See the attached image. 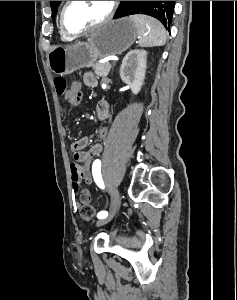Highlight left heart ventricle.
I'll use <instances>...</instances> for the list:
<instances>
[{"mask_svg":"<svg viewBox=\"0 0 237 300\" xmlns=\"http://www.w3.org/2000/svg\"><path fill=\"white\" fill-rule=\"evenodd\" d=\"M109 10V1H71L65 11V26L79 32L101 21Z\"/></svg>","mask_w":237,"mask_h":300,"instance_id":"b2bd125f","label":"left heart ventricle"}]
</instances>
